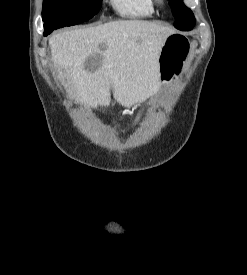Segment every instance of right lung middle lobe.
Returning a JSON list of instances; mask_svg holds the SVG:
<instances>
[{
    "label": "right lung middle lobe",
    "mask_w": 247,
    "mask_h": 275,
    "mask_svg": "<svg viewBox=\"0 0 247 275\" xmlns=\"http://www.w3.org/2000/svg\"><path fill=\"white\" fill-rule=\"evenodd\" d=\"M102 0H44L42 20L45 31L76 25L91 19L101 8Z\"/></svg>",
    "instance_id": "obj_1"
}]
</instances>
